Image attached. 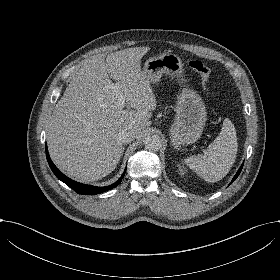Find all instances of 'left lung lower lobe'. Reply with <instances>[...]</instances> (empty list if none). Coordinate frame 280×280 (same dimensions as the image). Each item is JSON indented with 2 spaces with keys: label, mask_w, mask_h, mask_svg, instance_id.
<instances>
[{
  "label": "left lung lower lobe",
  "mask_w": 280,
  "mask_h": 280,
  "mask_svg": "<svg viewBox=\"0 0 280 280\" xmlns=\"http://www.w3.org/2000/svg\"><path fill=\"white\" fill-rule=\"evenodd\" d=\"M242 168H243V164L241 165V167L239 168L238 172L236 173V175H235L234 178L232 179L231 183L238 177V175L240 174ZM231 183H230V184H231Z\"/></svg>",
  "instance_id": "0a47b994"
}]
</instances>
